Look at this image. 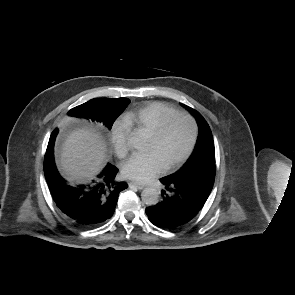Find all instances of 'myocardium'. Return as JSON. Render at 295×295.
Returning a JSON list of instances; mask_svg holds the SVG:
<instances>
[{"label": "myocardium", "mask_w": 295, "mask_h": 295, "mask_svg": "<svg viewBox=\"0 0 295 295\" xmlns=\"http://www.w3.org/2000/svg\"><path fill=\"white\" fill-rule=\"evenodd\" d=\"M179 117H183L189 120V122L191 123L192 126V136H191V140L189 143V146L187 148V150L184 152V154L178 158L176 161H174L173 163L167 165L164 168V171L168 172V171H172L174 169H177L178 167H180L182 164H184L188 158L191 156V154L193 153L196 143H197V139H198V124L197 121L195 120V118L185 112H176L173 114H170L168 116H166L164 119L161 120V122L158 124V126L151 132V137H153L154 139H160L163 134L165 133L169 123L174 120L175 118H179Z\"/></svg>", "instance_id": "obj_1"}]
</instances>
